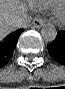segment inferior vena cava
<instances>
[{
  "label": "inferior vena cava",
  "instance_id": "602c4592",
  "mask_svg": "<svg viewBox=\"0 0 65 89\" xmlns=\"http://www.w3.org/2000/svg\"><path fill=\"white\" fill-rule=\"evenodd\" d=\"M31 20V16L23 14L15 19V26L17 28H26L30 24Z\"/></svg>",
  "mask_w": 65,
  "mask_h": 89
}]
</instances>
